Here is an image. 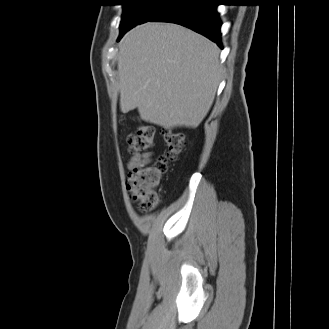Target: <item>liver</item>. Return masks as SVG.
<instances>
[{"label":"liver","instance_id":"1","mask_svg":"<svg viewBox=\"0 0 329 329\" xmlns=\"http://www.w3.org/2000/svg\"><path fill=\"white\" fill-rule=\"evenodd\" d=\"M219 53L213 42L180 25L133 28L117 57L122 113L137 108L142 120L166 129L197 127L220 82Z\"/></svg>","mask_w":329,"mask_h":329}]
</instances>
